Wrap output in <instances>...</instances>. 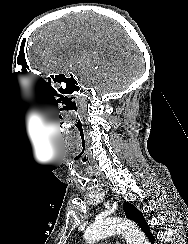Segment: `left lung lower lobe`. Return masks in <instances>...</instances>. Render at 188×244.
Instances as JSON below:
<instances>
[{
    "label": "left lung lower lobe",
    "instance_id": "0a47b994",
    "mask_svg": "<svg viewBox=\"0 0 188 244\" xmlns=\"http://www.w3.org/2000/svg\"><path fill=\"white\" fill-rule=\"evenodd\" d=\"M138 226L142 229V231L146 234V236L148 237V239L150 240L151 244L155 243V238L153 236V234L150 231V227L147 224L146 220L144 219V217L141 218L140 222L138 223Z\"/></svg>",
    "mask_w": 188,
    "mask_h": 244
}]
</instances>
